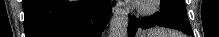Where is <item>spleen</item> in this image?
<instances>
[{
    "mask_svg": "<svg viewBox=\"0 0 219 37\" xmlns=\"http://www.w3.org/2000/svg\"><path fill=\"white\" fill-rule=\"evenodd\" d=\"M157 37H182L179 34L167 33V31L162 29H157L156 33Z\"/></svg>",
    "mask_w": 219,
    "mask_h": 37,
    "instance_id": "spleen-1",
    "label": "spleen"
}]
</instances>
